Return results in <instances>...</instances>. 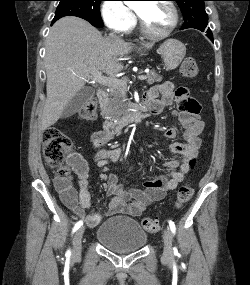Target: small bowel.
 I'll use <instances>...</instances> for the list:
<instances>
[{
  "instance_id": "1",
  "label": "small bowel",
  "mask_w": 250,
  "mask_h": 285,
  "mask_svg": "<svg viewBox=\"0 0 250 285\" xmlns=\"http://www.w3.org/2000/svg\"><path fill=\"white\" fill-rule=\"evenodd\" d=\"M144 101L148 109L153 114H160L164 107L178 104L175 112L180 125L185 132L184 142H173L169 145V150L181 157V160L170 159L164 163V167L169 171L167 175H160L146 180L143 189H125L118 180L115 173L103 174L101 178L106 181L108 196L110 200L107 210L104 213L86 214L91 207V194L88 189L89 167L85 159L78 153H73L68 158V163L78 177L79 191L77 192L66 180H58L56 189L63 203L79 218L85 220L89 227H95L101 220L110 215L126 214L138 217L144 209L151 203L161 200L167 191L174 190L183 182L186 174L190 170L189 161L195 157L201 145L200 134L204 124L199 117L200 105L190 97L186 88L174 89L169 83H161L150 88L144 95ZM115 133L106 130L94 131L91 134V143L95 150L94 160L101 167H105L111 162H116L121 157L120 148L107 149L106 146L112 141ZM177 130L169 127L165 131V136L174 138Z\"/></svg>"
}]
</instances>
